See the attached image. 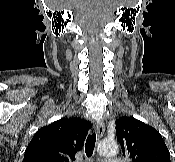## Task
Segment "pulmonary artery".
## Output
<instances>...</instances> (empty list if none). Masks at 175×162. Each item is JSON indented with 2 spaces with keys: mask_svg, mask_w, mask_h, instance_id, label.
<instances>
[{
  "mask_svg": "<svg viewBox=\"0 0 175 162\" xmlns=\"http://www.w3.org/2000/svg\"><path fill=\"white\" fill-rule=\"evenodd\" d=\"M105 162H122V161L117 159V158H109V159L105 160Z\"/></svg>",
  "mask_w": 175,
  "mask_h": 162,
  "instance_id": "pulmonary-artery-1",
  "label": "pulmonary artery"
}]
</instances>
